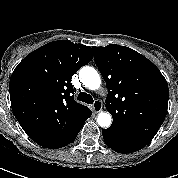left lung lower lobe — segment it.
Masks as SVG:
<instances>
[{
	"label": "left lung lower lobe",
	"mask_w": 178,
	"mask_h": 178,
	"mask_svg": "<svg viewBox=\"0 0 178 178\" xmlns=\"http://www.w3.org/2000/svg\"><path fill=\"white\" fill-rule=\"evenodd\" d=\"M102 134L106 145L119 153L135 152L146 146L122 137L110 129L102 130Z\"/></svg>",
	"instance_id": "obj_1"
}]
</instances>
